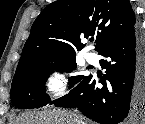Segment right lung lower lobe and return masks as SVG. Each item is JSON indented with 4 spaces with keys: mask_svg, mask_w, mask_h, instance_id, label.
Segmentation results:
<instances>
[{
    "mask_svg": "<svg viewBox=\"0 0 145 124\" xmlns=\"http://www.w3.org/2000/svg\"><path fill=\"white\" fill-rule=\"evenodd\" d=\"M99 54L106 69L102 78L85 77L69 94L50 104L78 108L101 124L134 122L145 111V35L135 25L122 36L110 40ZM102 83L103 87H97Z\"/></svg>",
    "mask_w": 145,
    "mask_h": 124,
    "instance_id": "right-lung-lower-lobe-1",
    "label": "right lung lower lobe"
}]
</instances>
